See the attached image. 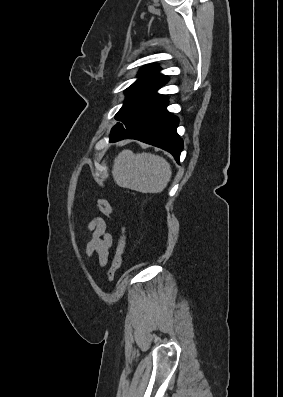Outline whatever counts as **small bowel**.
I'll return each instance as SVG.
<instances>
[{
	"label": "small bowel",
	"instance_id": "obj_1",
	"mask_svg": "<svg viewBox=\"0 0 283 397\" xmlns=\"http://www.w3.org/2000/svg\"><path fill=\"white\" fill-rule=\"evenodd\" d=\"M89 230L92 232V238L87 244L86 252L89 256L96 254L100 266L103 267L108 261L112 236L107 232L106 223L100 217H95L89 223Z\"/></svg>",
	"mask_w": 283,
	"mask_h": 397
}]
</instances>
